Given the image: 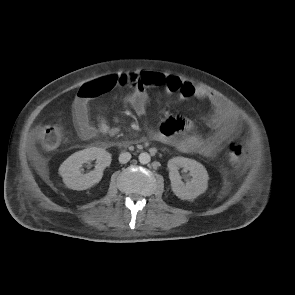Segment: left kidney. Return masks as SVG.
I'll return each mask as SVG.
<instances>
[{
	"instance_id": "left-kidney-1",
	"label": "left kidney",
	"mask_w": 295,
	"mask_h": 295,
	"mask_svg": "<svg viewBox=\"0 0 295 295\" xmlns=\"http://www.w3.org/2000/svg\"><path fill=\"white\" fill-rule=\"evenodd\" d=\"M180 167L189 170L192 176V179L185 184L178 171ZM168 168L171 188L178 198L192 200L207 190L208 173L201 163L189 158L175 157L169 160Z\"/></svg>"
}]
</instances>
